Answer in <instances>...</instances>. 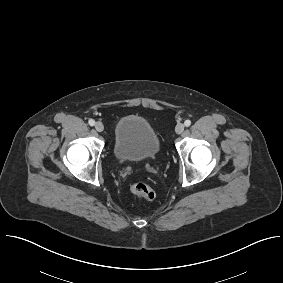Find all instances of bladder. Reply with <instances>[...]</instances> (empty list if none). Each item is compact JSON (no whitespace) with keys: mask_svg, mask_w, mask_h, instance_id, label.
I'll list each match as a JSON object with an SVG mask.
<instances>
[{"mask_svg":"<svg viewBox=\"0 0 283 283\" xmlns=\"http://www.w3.org/2000/svg\"><path fill=\"white\" fill-rule=\"evenodd\" d=\"M112 151L121 161L151 160L159 154L160 140L148 120L127 115L115 125Z\"/></svg>","mask_w":283,"mask_h":283,"instance_id":"1","label":"bladder"}]
</instances>
